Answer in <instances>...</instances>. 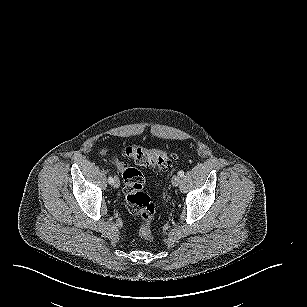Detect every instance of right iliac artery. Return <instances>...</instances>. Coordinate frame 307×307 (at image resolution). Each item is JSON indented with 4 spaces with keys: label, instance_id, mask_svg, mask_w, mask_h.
Instances as JSON below:
<instances>
[{
    "label": "right iliac artery",
    "instance_id": "obj_1",
    "mask_svg": "<svg viewBox=\"0 0 307 307\" xmlns=\"http://www.w3.org/2000/svg\"><path fill=\"white\" fill-rule=\"evenodd\" d=\"M108 182H109V184H112L114 182V180L111 176L108 178Z\"/></svg>",
    "mask_w": 307,
    "mask_h": 307
}]
</instances>
